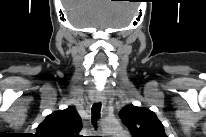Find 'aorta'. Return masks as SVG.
<instances>
[{
    "instance_id": "obj_1",
    "label": "aorta",
    "mask_w": 206,
    "mask_h": 137,
    "mask_svg": "<svg viewBox=\"0 0 206 137\" xmlns=\"http://www.w3.org/2000/svg\"><path fill=\"white\" fill-rule=\"evenodd\" d=\"M104 130L110 134H119L121 132V127L118 122L105 123Z\"/></svg>"
}]
</instances>
